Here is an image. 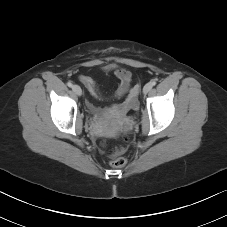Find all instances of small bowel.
Masks as SVG:
<instances>
[{
  "instance_id": "c3829d8e",
  "label": "small bowel",
  "mask_w": 227,
  "mask_h": 227,
  "mask_svg": "<svg viewBox=\"0 0 227 227\" xmlns=\"http://www.w3.org/2000/svg\"><path fill=\"white\" fill-rule=\"evenodd\" d=\"M106 70L113 71L115 76L119 80V85L116 90L117 97H123V96L127 95L128 93H130L131 96L134 94L133 90L131 89V73H130V71H128L125 68L117 67L114 65L108 66L106 68ZM79 79L93 97H96V98L99 97L98 87L91 77L81 75Z\"/></svg>"
}]
</instances>
